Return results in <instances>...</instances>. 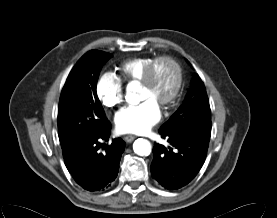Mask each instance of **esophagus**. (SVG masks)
Listing matches in <instances>:
<instances>
[{"mask_svg": "<svg viewBox=\"0 0 277 218\" xmlns=\"http://www.w3.org/2000/svg\"><path fill=\"white\" fill-rule=\"evenodd\" d=\"M135 138H136V137H135L134 135H126V136H124L123 139H124V141L130 143V142H132Z\"/></svg>", "mask_w": 277, "mask_h": 218, "instance_id": "1", "label": "esophagus"}]
</instances>
